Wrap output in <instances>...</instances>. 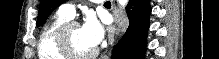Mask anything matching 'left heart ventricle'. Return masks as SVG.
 <instances>
[{
  "mask_svg": "<svg viewBox=\"0 0 219 59\" xmlns=\"http://www.w3.org/2000/svg\"><path fill=\"white\" fill-rule=\"evenodd\" d=\"M69 37L72 48L78 53H87L94 49V47L90 46L85 38L82 36L80 26H72L69 31Z\"/></svg>",
  "mask_w": 219,
  "mask_h": 59,
  "instance_id": "b2bd125f",
  "label": "left heart ventricle"
}]
</instances>
